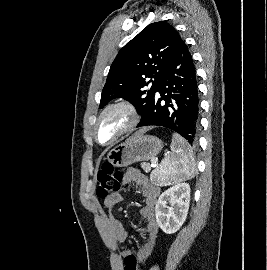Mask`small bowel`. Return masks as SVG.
Instances as JSON below:
<instances>
[{"instance_id":"1","label":"small bowel","mask_w":267,"mask_h":270,"mask_svg":"<svg viewBox=\"0 0 267 270\" xmlns=\"http://www.w3.org/2000/svg\"><path fill=\"white\" fill-rule=\"evenodd\" d=\"M124 184L139 186L144 197L145 205L140 211V216L146 222V237L137 252L138 261H144L153 251L157 240L158 224L155 217V207L159 197V189L154 186L144 173L136 168H129L124 175ZM123 202V196L120 193L112 194L105 198L104 206L108 209V222L110 232L114 240L122 243L127 238V231L122 222L113 213L114 208ZM131 251L125 249L121 258H125Z\"/></svg>"}]
</instances>
